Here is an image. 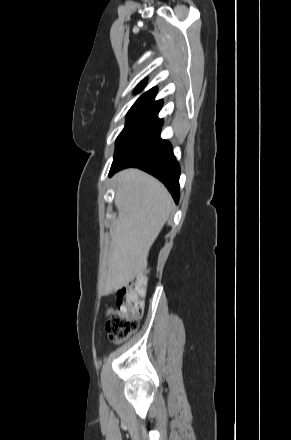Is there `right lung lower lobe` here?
<instances>
[{"instance_id": "98d812e1", "label": "right lung lower lobe", "mask_w": 291, "mask_h": 440, "mask_svg": "<svg viewBox=\"0 0 291 440\" xmlns=\"http://www.w3.org/2000/svg\"><path fill=\"white\" fill-rule=\"evenodd\" d=\"M162 100L153 102L139 125L115 155L109 176L127 167L140 168L161 180L179 201L180 167L170 143L160 138L162 120L157 118Z\"/></svg>"}]
</instances>
